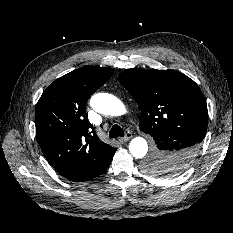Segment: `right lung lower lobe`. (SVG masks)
<instances>
[{
  "label": "right lung lower lobe",
  "mask_w": 233,
  "mask_h": 233,
  "mask_svg": "<svg viewBox=\"0 0 233 233\" xmlns=\"http://www.w3.org/2000/svg\"><path fill=\"white\" fill-rule=\"evenodd\" d=\"M115 151L110 155V157L106 160V162H104V164L102 166H100L98 169H96V170L80 169V170H77V171L71 173L66 178L68 180H71L74 182H81V181L91 180V179L103 174L105 172V170L108 168V166L110 165Z\"/></svg>",
  "instance_id": "obj_1"
}]
</instances>
